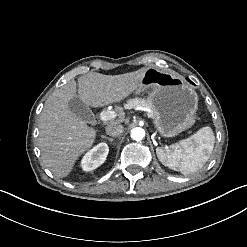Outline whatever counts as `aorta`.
Returning <instances> with one entry per match:
<instances>
[{"mask_svg":"<svg viewBox=\"0 0 247 247\" xmlns=\"http://www.w3.org/2000/svg\"><path fill=\"white\" fill-rule=\"evenodd\" d=\"M145 137V130L140 127H135L131 130V138L135 141H141Z\"/></svg>","mask_w":247,"mask_h":247,"instance_id":"762f6f07","label":"aorta"}]
</instances>
